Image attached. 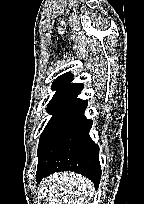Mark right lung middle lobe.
Here are the masks:
<instances>
[{
    "instance_id": "dd1d6c3e",
    "label": "right lung middle lobe",
    "mask_w": 144,
    "mask_h": 204,
    "mask_svg": "<svg viewBox=\"0 0 144 204\" xmlns=\"http://www.w3.org/2000/svg\"><path fill=\"white\" fill-rule=\"evenodd\" d=\"M74 101L75 99L72 98H57L52 99L48 103L47 111L52 114V117L41 134L38 146V155L42 152L45 145L54 134L60 119L69 109V107L73 104Z\"/></svg>"
}]
</instances>
